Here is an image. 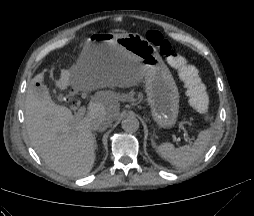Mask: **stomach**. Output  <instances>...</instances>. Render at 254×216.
<instances>
[{
	"label": "stomach",
	"mask_w": 254,
	"mask_h": 216,
	"mask_svg": "<svg viewBox=\"0 0 254 216\" xmlns=\"http://www.w3.org/2000/svg\"><path fill=\"white\" fill-rule=\"evenodd\" d=\"M119 52L142 71L153 120L160 128L173 126L179 116V91L162 57L144 37L133 33L94 35L87 44L83 63L108 64Z\"/></svg>",
	"instance_id": "1"
}]
</instances>
